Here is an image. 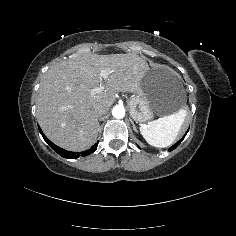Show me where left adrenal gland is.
Wrapping results in <instances>:
<instances>
[{"label": "left adrenal gland", "instance_id": "obj_1", "mask_svg": "<svg viewBox=\"0 0 236 236\" xmlns=\"http://www.w3.org/2000/svg\"><path fill=\"white\" fill-rule=\"evenodd\" d=\"M130 122H131V124H132V126H133V130H134L135 132H138V130L136 129V126H135L134 122H133L132 120H130Z\"/></svg>", "mask_w": 236, "mask_h": 236}]
</instances>
